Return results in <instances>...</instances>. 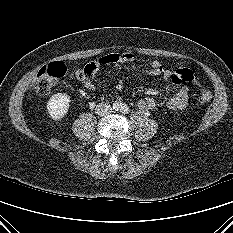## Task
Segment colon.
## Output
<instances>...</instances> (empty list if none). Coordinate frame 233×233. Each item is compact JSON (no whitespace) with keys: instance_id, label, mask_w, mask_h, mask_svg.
I'll use <instances>...</instances> for the list:
<instances>
[{"instance_id":"1","label":"colon","mask_w":233,"mask_h":233,"mask_svg":"<svg viewBox=\"0 0 233 233\" xmlns=\"http://www.w3.org/2000/svg\"><path fill=\"white\" fill-rule=\"evenodd\" d=\"M96 70V63L90 62L84 67H80L73 72V76L78 79H85L91 76ZM67 73V67L62 62H53L42 67L33 80V88L42 96L50 94L53 88L57 85L61 78ZM184 79L187 82H194L195 76L192 72L185 73ZM212 99L209 91L204 90L200 95V100L203 103H208Z\"/></svg>"}]
</instances>
